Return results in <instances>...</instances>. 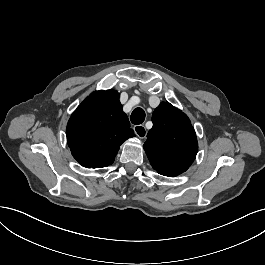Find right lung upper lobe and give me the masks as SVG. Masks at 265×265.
I'll list each match as a JSON object with an SVG mask.
<instances>
[{
  "mask_svg": "<svg viewBox=\"0 0 265 265\" xmlns=\"http://www.w3.org/2000/svg\"><path fill=\"white\" fill-rule=\"evenodd\" d=\"M111 90L95 91L71 115L66 129L68 146L76 161L87 168H103L114 162L120 145L134 131Z\"/></svg>",
  "mask_w": 265,
  "mask_h": 265,
  "instance_id": "obj_1",
  "label": "right lung upper lobe"
}]
</instances>
